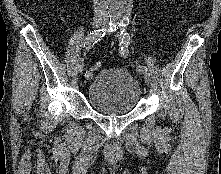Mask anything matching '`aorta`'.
Here are the masks:
<instances>
[{
	"mask_svg": "<svg viewBox=\"0 0 221 174\" xmlns=\"http://www.w3.org/2000/svg\"><path fill=\"white\" fill-rule=\"evenodd\" d=\"M133 0H108V10L113 21H128Z\"/></svg>",
	"mask_w": 221,
	"mask_h": 174,
	"instance_id": "obj_1",
	"label": "aorta"
}]
</instances>
